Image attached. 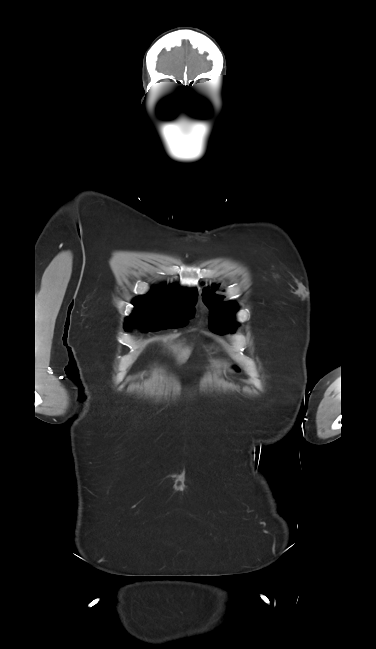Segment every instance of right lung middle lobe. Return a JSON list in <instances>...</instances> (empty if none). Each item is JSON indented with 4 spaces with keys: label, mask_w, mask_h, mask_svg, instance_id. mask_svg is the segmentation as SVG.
<instances>
[{
    "label": "right lung middle lobe",
    "mask_w": 376,
    "mask_h": 649,
    "mask_svg": "<svg viewBox=\"0 0 376 649\" xmlns=\"http://www.w3.org/2000/svg\"><path fill=\"white\" fill-rule=\"evenodd\" d=\"M197 291L167 287H154L133 300L134 312L125 320V330L140 326L144 330L180 328L194 317Z\"/></svg>",
    "instance_id": "right-lung-middle-lobe-1"
}]
</instances>
